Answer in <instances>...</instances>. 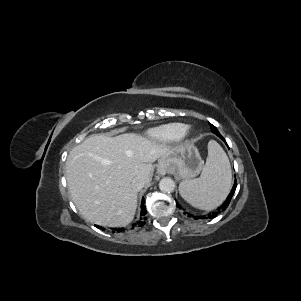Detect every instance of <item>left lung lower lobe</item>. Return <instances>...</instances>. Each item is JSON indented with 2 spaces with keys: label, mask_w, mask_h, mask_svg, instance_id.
<instances>
[{
  "label": "left lung lower lobe",
  "mask_w": 301,
  "mask_h": 301,
  "mask_svg": "<svg viewBox=\"0 0 301 301\" xmlns=\"http://www.w3.org/2000/svg\"><path fill=\"white\" fill-rule=\"evenodd\" d=\"M213 133H215L218 137H220L226 143L225 139L221 136V134L219 133L218 130L213 131ZM236 187H237V181L235 179L233 188H232L231 192L229 193L227 199L223 202V204L219 208H217L216 211H213V212L209 213L207 215V217H205V216H194V218L195 219H200V218H202V219H205V218L212 219V218L216 217L221 211H225V209L228 207V205H229V203H230V201H231V199H232V197L234 195ZM176 205L178 206V204H176Z\"/></svg>",
  "instance_id": "left-lung-lower-lobe-1"
}]
</instances>
